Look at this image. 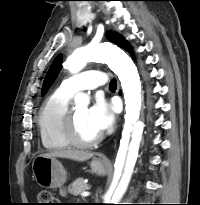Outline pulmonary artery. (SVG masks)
<instances>
[{"mask_svg": "<svg viewBox=\"0 0 200 205\" xmlns=\"http://www.w3.org/2000/svg\"><path fill=\"white\" fill-rule=\"evenodd\" d=\"M106 82L107 76L104 72L88 70L63 80L60 89L70 95H74L82 90L95 89Z\"/></svg>", "mask_w": 200, "mask_h": 205, "instance_id": "pulmonary-artery-1", "label": "pulmonary artery"}]
</instances>
